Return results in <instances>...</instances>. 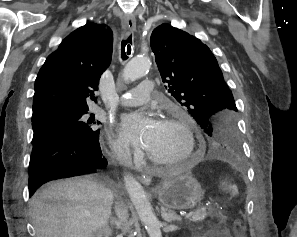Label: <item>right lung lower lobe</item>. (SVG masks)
<instances>
[{
  "label": "right lung lower lobe",
  "instance_id": "98d812e1",
  "mask_svg": "<svg viewBox=\"0 0 297 237\" xmlns=\"http://www.w3.org/2000/svg\"><path fill=\"white\" fill-rule=\"evenodd\" d=\"M32 144L30 196L49 181L98 173L107 165L99 137L95 141H83L65 130L56 129L39 135Z\"/></svg>",
  "mask_w": 297,
  "mask_h": 237
}]
</instances>
